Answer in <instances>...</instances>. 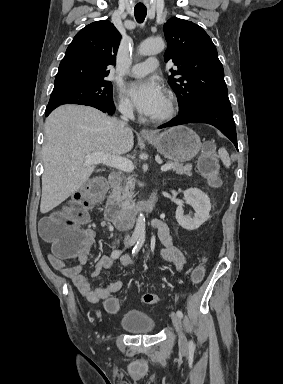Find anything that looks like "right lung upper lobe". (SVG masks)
Masks as SVG:
<instances>
[{
  "label": "right lung upper lobe",
  "mask_w": 283,
  "mask_h": 384,
  "mask_svg": "<svg viewBox=\"0 0 283 384\" xmlns=\"http://www.w3.org/2000/svg\"><path fill=\"white\" fill-rule=\"evenodd\" d=\"M120 33L108 20L80 30L68 46L55 78V86L106 79L115 65Z\"/></svg>",
  "instance_id": "1"
}]
</instances>
